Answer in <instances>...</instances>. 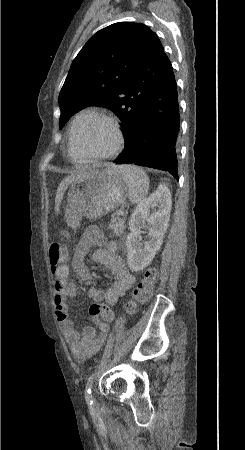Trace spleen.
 I'll return each instance as SVG.
<instances>
[{"label": "spleen", "mask_w": 245, "mask_h": 450, "mask_svg": "<svg viewBox=\"0 0 245 450\" xmlns=\"http://www.w3.org/2000/svg\"><path fill=\"white\" fill-rule=\"evenodd\" d=\"M118 169L128 185L130 201L133 204L140 203L146 197L149 189L147 174L135 165H121L118 166Z\"/></svg>", "instance_id": "spleen-1"}]
</instances>
